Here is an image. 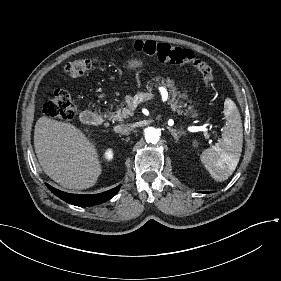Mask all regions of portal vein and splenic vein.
<instances>
[{
	"instance_id": "portal-vein-and-splenic-vein-1",
	"label": "portal vein and splenic vein",
	"mask_w": 281,
	"mask_h": 281,
	"mask_svg": "<svg viewBox=\"0 0 281 281\" xmlns=\"http://www.w3.org/2000/svg\"><path fill=\"white\" fill-rule=\"evenodd\" d=\"M139 100L140 101H142V100L157 101L158 100V95L157 94L146 93L144 91H138L137 94L129 102V105L131 107L137 106ZM202 127L206 128L205 126H202Z\"/></svg>"
}]
</instances>
